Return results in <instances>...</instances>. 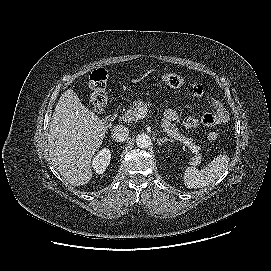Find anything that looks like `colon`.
Segmentation results:
<instances>
[{
	"mask_svg": "<svg viewBox=\"0 0 271 271\" xmlns=\"http://www.w3.org/2000/svg\"><path fill=\"white\" fill-rule=\"evenodd\" d=\"M162 81L172 88H180L185 84L183 77L173 73L164 74ZM88 87L91 90L90 102L92 108L96 112H102L108 101L107 72L103 69L94 71L89 77ZM216 136V133L210 134L211 139H215Z\"/></svg>",
	"mask_w": 271,
	"mask_h": 271,
	"instance_id": "obj_1",
	"label": "colon"
}]
</instances>
